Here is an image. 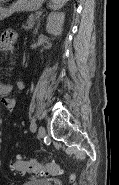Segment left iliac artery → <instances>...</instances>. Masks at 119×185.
<instances>
[{"label":"left iliac artery","mask_w":119,"mask_h":185,"mask_svg":"<svg viewBox=\"0 0 119 185\" xmlns=\"http://www.w3.org/2000/svg\"><path fill=\"white\" fill-rule=\"evenodd\" d=\"M36 129H37L36 122L34 120H32L31 124H30V130H31V132H35Z\"/></svg>","instance_id":"1"}]
</instances>
